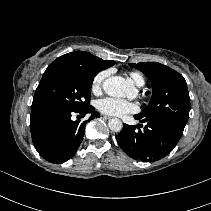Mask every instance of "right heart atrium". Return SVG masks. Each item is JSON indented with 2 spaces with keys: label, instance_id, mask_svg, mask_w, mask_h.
Segmentation results:
<instances>
[{
  "label": "right heart atrium",
  "instance_id": "obj_1",
  "mask_svg": "<svg viewBox=\"0 0 211 211\" xmlns=\"http://www.w3.org/2000/svg\"><path fill=\"white\" fill-rule=\"evenodd\" d=\"M107 76H108V71L106 70L96 74V76L93 78L91 85L93 92H99L101 90L104 80L106 79Z\"/></svg>",
  "mask_w": 211,
  "mask_h": 211
}]
</instances>
